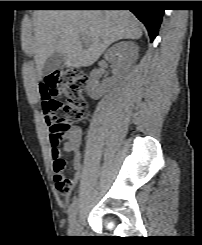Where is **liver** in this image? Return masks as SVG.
Segmentation results:
<instances>
[{"label":"liver","instance_id":"1","mask_svg":"<svg viewBox=\"0 0 202 245\" xmlns=\"http://www.w3.org/2000/svg\"><path fill=\"white\" fill-rule=\"evenodd\" d=\"M142 34L138 20L128 10H37L32 25L22 32V47L34 53L41 78L45 62L54 52L63 54L72 67H87L112 43L139 39Z\"/></svg>","mask_w":202,"mask_h":245}]
</instances>
